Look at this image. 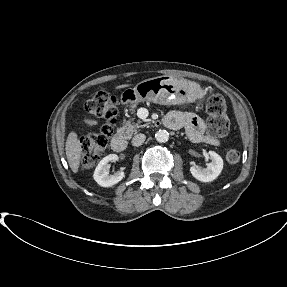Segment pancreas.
Here are the masks:
<instances>
[{
    "mask_svg": "<svg viewBox=\"0 0 287 287\" xmlns=\"http://www.w3.org/2000/svg\"><path fill=\"white\" fill-rule=\"evenodd\" d=\"M142 121L132 122L131 120L125 122L123 127L119 129L121 133L124 134L127 138H131L133 134L138 133V131L145 127L146 125L141 124Z\"/></svg>",
    "mask_w": 287,
    "mask_h": 287,
    "instance_id": "pancreas-1",
    "label": "pancreas"
}]
</instances>
